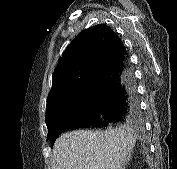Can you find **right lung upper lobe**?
Listing matches in <instances>:
<instances>
[{
	"mask_svg": "<svg viewBox=\"0 0 177 169\" xmlns=\"http://www.w3.org/2000/svg\"><path fill=\"white\" fill-rule=\"evenodd\" d=\"M124 52L123 42L107 25L99 24L82 31L67 46L53 73L47 106L65 99L82 84L90 82Z\"/></svg>",
	"mask_w": 177,
	"mask_h": 169,
	"instance_id": "cb5924a9",
	"label": "right lung upper lobe"
}]
</instances>
